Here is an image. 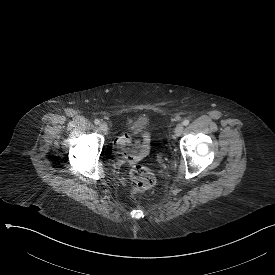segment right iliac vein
<instances>
[{
  "label": "right iliac vein",
  "instance_id": "obj_1",
  "mask_svg": "<svg viewBox=\"0 0 275 275\" xmlns=\"http://www.w3.org/2000/svg\"><path fill=\"white\" fill-rule=\"evenodd\" d=\"M107 128H108V126H107V124H106L105 122H103V123L100 124V129H101L102 131H106Z\"/></svg>",
  "mask_w": 275,
  "mask_h": 275
}]
</instances>
